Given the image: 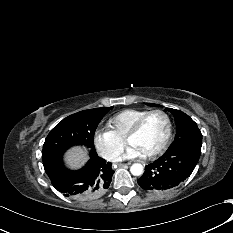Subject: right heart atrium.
I'll return each mask as SVG.
<instances>
[{
	"label": "right heart atrium",
	"mask_w": 233,
	"mask_h": 233,
	"mask_svg": "<svg viewBox=\"0 0 233 233\" xmlns=\"http://www.w3.org/2000/svg\"><path fill=\"white\" fill-rule=\"evenodd\" d=\"M93 141L99 154L109 161L118 160L125 146V141L110 130L96 132Z\"/></svg>",
	"instance_id": "obj_1"
}]
</instances>
